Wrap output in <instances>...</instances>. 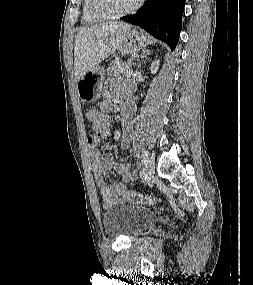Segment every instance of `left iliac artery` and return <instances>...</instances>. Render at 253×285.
<instances>
[{"label": "left iliac artery", "mask_w": 253, "mask_h": 285, "mask_svg": "<svg viewBox=\"0 0 253 285\" xmlns=\"http://www.w3.org/2000/svg\"><path fill=\"white\" fill-rule=\"evenodd\" d=\"M147 159H148V151L142 150V162H143L144 164H146Z\"/></svg>", "instance_id": "44dca946"}]
</instances>
